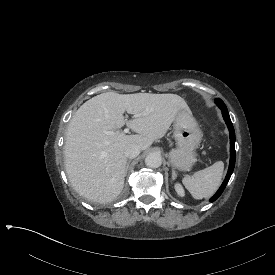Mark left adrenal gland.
Listing matches in <instances>:
<instances>
[{
	"mask_svg": "<svg viewBox=\"0 0 275 275\" xmlns=\"http://www.w3.org/2000/svg\"><path fill=\"white\" fill-rule=\"evenodd\" d=\"M176 175L177 173L175 172V168L172 166V179H174Z\"/></svg>",
	"mask_w": 275,
	"mask_h": 275,
	"instance_id": "a2214340",
	"label": "left adrenal gland"
}]
</instances>
